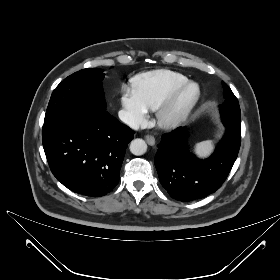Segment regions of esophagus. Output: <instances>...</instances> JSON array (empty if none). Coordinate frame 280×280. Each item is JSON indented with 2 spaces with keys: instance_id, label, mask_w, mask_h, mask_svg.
Instances as JSON below:
<instances>
[{
  "instance_id": "1",
  "label": "esophagus",
  "mask_w": 280,
  "mask_h": 280,
  "mask_svg": "<svg viewBox=\"0 0 280 280\" xmlns=\"http://www.w3.org/2000/svg\"><path fill=\"white\" fill-rule=\"evenodd\" d=\"M145 139L149 145L151 146L155 145V138L153 136L147 135Z\"/></svg>"
}]
</instances>
